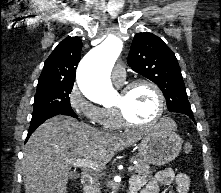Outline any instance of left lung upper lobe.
<instances>
[{"label": "left lung upper lobe", "mask_w": 221, "mask_h": 193, "mask_svg": "<svg viewBox=\"0 0 221 193\" xmlns=\"http://www.w3.org/2000/svg\"><path fill=\"white\" fill-rule=\"evenodd\" d=\"M128 64L160 87L170 112H192L175 54L162 39L149 32L136 34Z\"/></svg>", "instance_id": "5c2ea615"}]
</instances>
